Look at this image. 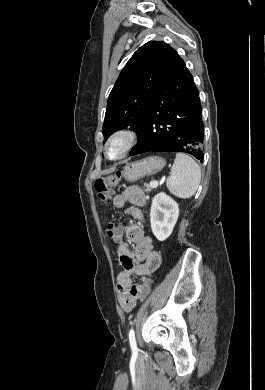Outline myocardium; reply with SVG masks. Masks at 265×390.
<instances>
[{
    "instance_id": "myocardium-1",
    "label": "myocardium",
    "mask_w": 265,
    "mask_h": 390,
    "mask_svg": "<svg viewBox=\"0 0 265 390\" xmlns=\"http://www.w3.org/2000/svg\"><path fill=\"white\" fill-rule=\"evenodd\" d=\"M138 141L137 132L129 127L118 128L111 133L104 145V153L108 160L118 161L124 158L136 145ZM119 143L120 148L114 155L111 154L113 144Z\"/></svg>"
}]
</instances>
